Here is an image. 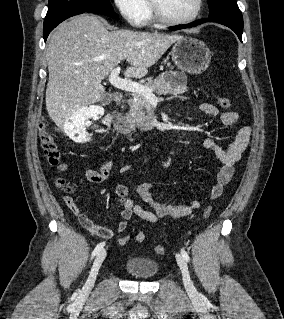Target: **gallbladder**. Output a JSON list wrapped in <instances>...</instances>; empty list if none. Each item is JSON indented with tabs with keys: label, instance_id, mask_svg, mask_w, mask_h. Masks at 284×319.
<instances>
[{
	"label": "gallbladder",
	"instance_id": "1",
	"mask_svg": "<svg viewBox=\"0 0 284 319\" xmlns=\"http://www.w3.org/2000/svg\"><path fill=\"white\" fill-rule=\"evenodd\" d=\"M110 100H111L110 95H109V94H106V95L103 97V99H102V103H103V104H107V103L110 102Z\"/></svg>",
	"mask_w": 284,
	"mask_h": 319
}]
</instances>
